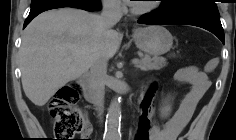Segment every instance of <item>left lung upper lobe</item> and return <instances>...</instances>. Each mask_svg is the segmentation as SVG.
<instances>
[{"mask_svg": "<svg viewBox=\"0 0 236 140\" xmlns=\"http://www.w3.org/2000/svg\"><path fill=\"white\" fill-rule=\"evenodd\" d=\"M156 11H160L163 15L199 14L220 17L215 0H164Z\"/></svg>", "mask_w": 236, "mask_h": 140, "instance_id": "left-lung-upper-lobe-1", "label": "left lung upper lobe"}]
</instances>
